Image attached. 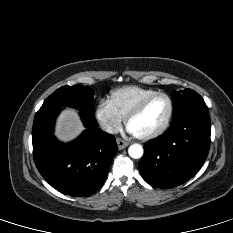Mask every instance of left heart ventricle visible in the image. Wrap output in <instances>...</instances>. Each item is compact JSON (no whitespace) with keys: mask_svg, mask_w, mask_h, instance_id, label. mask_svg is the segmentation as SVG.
<instances>
[{"mask_svg":"<svg viewBox=\"0 0 233 233\" xmlns=\"http://www.w3.org/2000/svg\"><path fill=\"white\" fill-rule=\"evenodd\" d=\"M169 110L165 97H157L130 123L129 128L137 135L149 134L159 129L164 123Z\"/></svg>","mask_w":233,"mask_h":233,"instance_id":"b2bd125f","label":"left heart ventricle"}]
</instances>
